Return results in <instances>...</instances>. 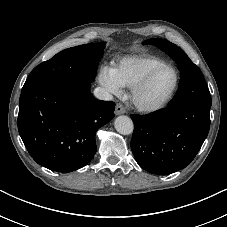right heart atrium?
I'll list each match as a JSON object with an SVG mask.
<instances>
[{"mask_svg":"<svg viewBox=\"0 0 227 227\" xmlns=\"http://www.w3.org/2000/svg\"><path fill=\"white\" fill-rule=\"evenodd\" d=\"M99 83L111 95L119 96L122 94V87L116 80L112 69L104 67L99 73Z\"/></svg>","mask_w":227,"mask_h":227,"instance_id":"right-heart-atrium-1","label":"right heart atrium"}]
</instances>
